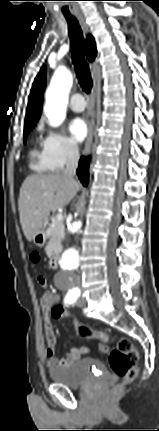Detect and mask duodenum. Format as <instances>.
<instances>
[{"label":"duodenum","mask_w":159,"mask_h":431,"mask_svg":"<svg viewBox=\"0 0 159 431\" xmlns=\"http://www.w3.org/2000/svg\"><path fill=\"white\" fill-rule=\"evenodd\" d=\"M42 236V235H41ZM49 264H50V267L52 268V269H57L58 268V266H59V256L58 255H53L51 258H50V262H49Z\"/></svg>","instance_id":"410a0bca"}]
</instances>
